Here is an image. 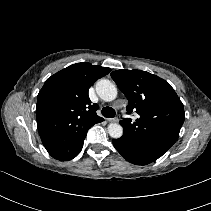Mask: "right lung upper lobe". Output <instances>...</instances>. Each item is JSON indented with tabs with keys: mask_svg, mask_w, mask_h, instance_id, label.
Wrapping results in <instances>:
<instances>
[{
	"mask_svg": "<svg viewBox=\"0 0 211 211\" xmlns=\"http://www.w3.org/2000/svg\"><path fill=\"white\" fill-rule=\"evenodd\" d=\"M110 68L90 63L70 65L49 77L37 96V126L48 153L67 160L88 129L104 119L96 114L88 90Z\"/></svg>",
	"mask_w": 211,
	"mask_h": 211,
	"instance_id": "cb5924a9",
	"label": "right lung upper lobe"
}]
</instances>
